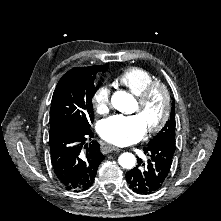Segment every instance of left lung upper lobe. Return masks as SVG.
<instances>
[{
    "instance_id": "5c2ea615",
    "label": "left lung upper lobe",
    "mask_w": 221,
    "mask_h": 221,
    "mask_svg": "<svg viewBox=\"0 0 221 221\" xmlns=\"http://www.w3.org/2000/svg\"><path fill=\"white\" fill-rule=\"evenodd\" d=\"M175 103L172 104L170 119L165 124L164 128L148 143L149 145H154L160 143L161 141L167 140L175 143Z\"/></svg>"
}]
</instances>
